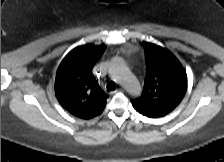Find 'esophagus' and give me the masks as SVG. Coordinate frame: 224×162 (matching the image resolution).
Returning <instances> with one entry per match:
<instances>
[{"instance_id": "1", "label": "esophagus", "mask_w": 224, "mask_h": 162, "mask_svg": "<svg viewBox=\"0 0 224 162\" xmlns=\"http://www.w3.org/2000/svg\"><path fill=\"white\" fill-rule=\"evenodd\" d=\"M122 91H123V89L119 88V89H117L115 91L110 92V95H114V94H117L118 92H122Z\"/></svg>"}]
</instances>
